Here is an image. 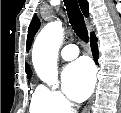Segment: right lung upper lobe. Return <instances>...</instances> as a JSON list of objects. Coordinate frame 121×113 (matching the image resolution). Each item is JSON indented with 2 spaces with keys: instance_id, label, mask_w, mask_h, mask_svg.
<instances>
[{
  "instance_id": "obj_1",
  "label": "right lung upper lobe",
  "mask_w": 121,
  "mask_h": 113,
  "mask_svg": "<svg viewBox=\"0 0 121 113\" xmlns=\"http://www.w3.org/2000/svg\"><path fill=\"white\" fill-rule=\"evenodd\" d=\"M79 4H80V7H81L83 14L85 15V17H87L89 15L88 2L86 0H79ZM38 28H39V20L35 16L31 22L30 26H29V29H28L29 34H28V40H27V45H26L27 50L30 49L31 42H32L33 37L36 34ZM26 73H27V78H30L32 75V72L29 69L28 65H26Z\"/></svg>"
}]
</instances>
